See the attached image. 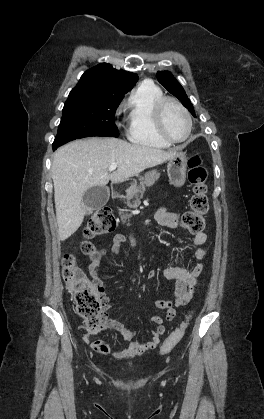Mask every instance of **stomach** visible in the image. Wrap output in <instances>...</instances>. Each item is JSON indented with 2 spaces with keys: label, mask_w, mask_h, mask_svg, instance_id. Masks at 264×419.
<instances>
[{
  "label": "stomach",
  "mask_w": 264,
  "mask_h": 419,
  "mask_svg": "<svg viewBox=\"0 0 264 419\" xmlns=\"http://www.w3.org/2000/svg\"><path fill=\"white\" fill-rule=\"evenodd\" d=\"M187 158L184 152H176L175 156L168 160L167 173L169 181L175 187L183 186L186 180ZM132 191L128 190V196Z\"/></svg>",
  "instance_id": "0dacf381"
}]
</instances>
